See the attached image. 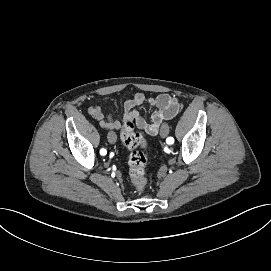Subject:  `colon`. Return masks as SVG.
Returning <instances> with one entry per match:
<instances>
[{
    "label": "colon",
    "instance_id": "5ec220e1",
    "mask_svg": "<svg viewBox=\"0 0 271 271\" xmlns=\"http://www.w3.org/2000/svg\"><path fill=\"white\" fill-rule=\"evenodd\" d=\"M123 144L131 150L128 159L129 177L135 190L143 192L147 186L145 168L148 162L146 140L144 136L135 131L134 123L127 122L121 134Z\"/></svg>",
    "mask_w": 271,
    "mask_h": 271
}]
</instances>
